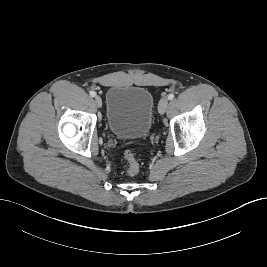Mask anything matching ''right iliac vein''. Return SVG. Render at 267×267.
Here are the masks:
<instances>
[{"label": "right iliac vein", "instance_id": "obj_1", "mask_svg": "<svg viewBox=\"0 0 267 267\" xmlns=\"http://www.w3.org/2000/svg\"><path fill=\"white\" fill-rule=\"evenodd\" d=\"M95 103L98 107H101L102 105V100L100 96H95Z\"/></svg>", "mask_w": 267, "mask_h": 267}]
</instances>
